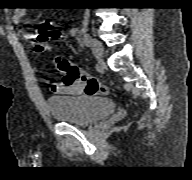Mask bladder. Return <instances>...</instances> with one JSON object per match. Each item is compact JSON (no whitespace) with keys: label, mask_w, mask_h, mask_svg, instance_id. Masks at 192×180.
Segmentation results:
<instances>
[{"label":"bladder","mask_w":192,"mask_h":180,"mask_svg":"<svg viewBox=\"0 0 192 180\" xmlns=\"http://www.w3.org/2000/svg\"><path fill=\"white\" fill-rule=\"evenodd\" d=\"M47 104L56 122L75 126L90 125L115 110V105L110 99L85 94L50 97Z\"/></svg>","instance_id":"31cf9c89"}]
</instances>
